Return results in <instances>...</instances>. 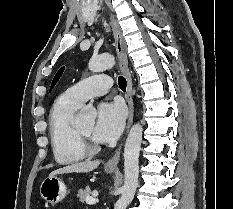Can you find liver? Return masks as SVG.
<instances>
[{"instance_id":"obj_1","label":"liver","mask_w":233,"mask_h":209,"mask_svg":"<svg viewBox=\"0 0 233 209\" xmlns=\"http://www.w3.org/2000/svg\"><path fill=\"white\" fill-rule=\"evenodd\" d=\"M100 164V161H85L80 163H74L57 170H54L50 173L49 176H55L58 174H67V173H87L96 169Z\"/></svg>"}]
</instances>
